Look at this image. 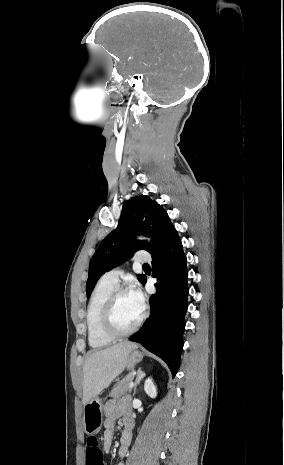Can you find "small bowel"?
Listing matches in <instances>:
<instances>
[{
	"label": "small bowel",
	"mask_w": 284,
	"mask_h": 465,
	"mask_svg": "<svg viewBox=\"0 0 284 465\" xmlns=\"http://www.w3.org/2000/svg\"><path fill=\"white\" fill-rule=\"evenodd\" d=\"M105 420L103 433V448L108 452L114 439V429L119 419L122 420L124 429L120 437L119 462L118 465H125V458L132 441V422L129 414L127 400L110 399L104 406Z\"/></svg>",
	"instance_id": "obj_1"
}]
</instances>
